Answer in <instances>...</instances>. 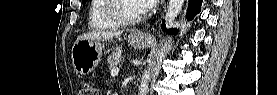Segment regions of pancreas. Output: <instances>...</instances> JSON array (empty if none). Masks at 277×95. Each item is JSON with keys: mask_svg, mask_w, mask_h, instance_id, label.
Segmentation results:
<instances>
[{"mask_svg": "<svg viewBox=\"0 0 277 95\" xmlns=\"http://www.w3.org/2000/svg\"><path fill=\"white\" fill-rule=\"evenodd\" d=\"M107 61H108L110 70H112L113 68H115L117 65L120 64V62H121V52L117 51V52L112 53L109 56Z\"/></svg>", "mask_w": 277, "mask_h": 95, "instance_id": "cf45deb5", "label": "pancreas"}]
</instances>
